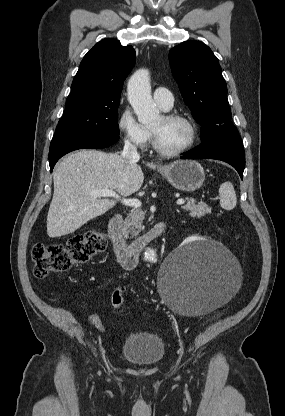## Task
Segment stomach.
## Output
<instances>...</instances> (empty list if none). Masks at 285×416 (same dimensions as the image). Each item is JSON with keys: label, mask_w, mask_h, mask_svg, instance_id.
Wrapping results in <instances>:
<instances>
[{"label": "stomach", "mask_w": 285, "mask_h": 416, "mask_svg": "<svg viewBox=\"0 0 285 416\" xmlns=\"http://www.w3.org/2000/svg\"><path fill=\"white\" fill-rule=\"evenodd\" d=\"M158 172L173 188L182 192H195L205 180L201 164L194 160H176L168 166H158Z\"/></svg>", "instance_id": "stomach-1"}]
</instances>
